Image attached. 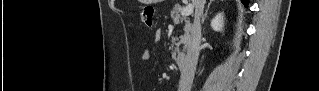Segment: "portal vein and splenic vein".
Here are the masks:
<instances>
[{
    "instance_id": "1",
    "label": "portal vein and splenic vein",
    "mask_w": 319,
    "mask_h": 91,
    "mask_svg": "<svg viewBox=\"0 0 319 91\" xmlns=\"http://www.w3.org/2000/svg\"><path fill=\"white\" fill-rule=\"evenodd\" d=\"M194 5L188 4L186 7H184L181 11L182 16H190L193 13Z\"/></svg>"
}]
</instances>
